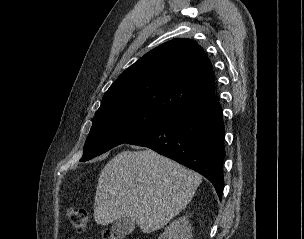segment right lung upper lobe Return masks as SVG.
<instances>
[{
    "label": "right lung upper lobe",
    "instance_id": "right-lung-upper-lobe-1",
    "mask_svg": "<svg viewBox=\"0 0 304 239\" xmlns=\"http://www.w3.org/2000/svg\"><path fill=\"white\" fill-rule=\"evenodd\" d=\"M214 89L212 65L202 47L173 39L125 70L104 94L96 115L145 108L172 117L212 97Z\"/></svg>",
    "mask_w": 304,
    "mask_h": 239
}]
</instances>
